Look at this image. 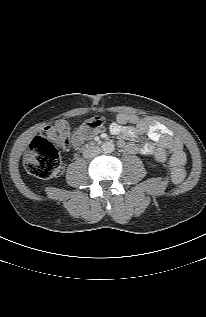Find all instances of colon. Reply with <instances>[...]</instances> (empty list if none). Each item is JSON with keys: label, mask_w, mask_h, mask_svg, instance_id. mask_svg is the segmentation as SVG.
<instances>
[{"label": "colon", "mask_w": 206, "mask_h": 317, "mask_svg": "<svg viewBox=\"0 0 206 317\" xmlns=\"http://www.w3.org/2000/svg\"><path fill=\"white\" fill-rule=\"evenodd\" d=\"M104 128V119L94 116L86 120L76 131L75 137L84 140L100 133ZM70 143V129L66 122L59 121L44 128L39 136L30 143L24 157L26 170L42 179H53L61 176L64 169L58 148ZM186 156L182 152L173 154L169 160L172 179L180 183L186 176Z\"/></svg>", "instance_id": "5ec220e1"}]
</instances>
